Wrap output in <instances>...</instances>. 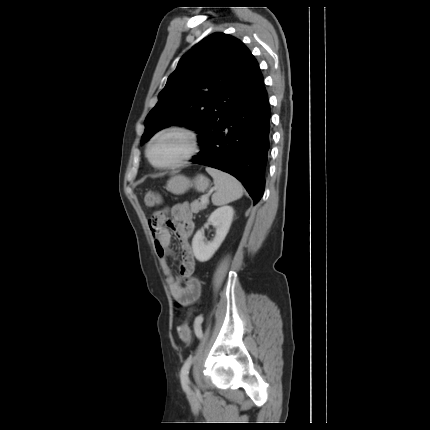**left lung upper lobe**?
<instances>
[{"label":"left lung upper lobe","instance_id":"1","mask_svg":"<svg viewBox=\"0 0 430 430\" xmlns=\"http://www.w3.org/2000/svg\"><path fill=\"white\" fill-rule=\"evenodd\" d=\"M260 70L250 50L237 38L214 33L188 51L169 76L156 106L145 120L141 144L169 125L211 131L229 107L255 88Z\"/></svg>","mask_w":430,"mask_h":430}]
</instances>
